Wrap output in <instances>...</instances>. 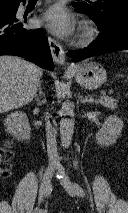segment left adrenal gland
Masks as SVG:
<instances>
[{"instance_id":"a2214340","label":"left adrenal gland","mask_w":128,"mask_h":213,"mask_svg":"<svg viewBox=\"0 0 128 213\" xmlns=\"http://www.w3.org/2000/svg\"><path fill=\"white\" fill-rule=\"evenodd\" d=\"M79 98H80V100H81V102L83 104H85V103H93V100L88 99V97L79 96Z\"/></svg>"}]
</instances>
